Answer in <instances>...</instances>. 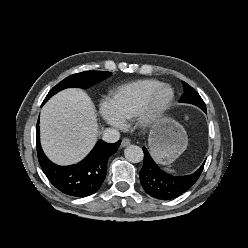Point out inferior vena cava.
Masks as SVG:
<instances>
[{"label": "inferior vena cava", "mask_w": 248, "mask_h": 248, "mask_svg": "<svg viewBox=\"0 0 248 248\" xmlns=\"http://www.w3.org/2000/svg\"><path fill=\"white\" fill-rule=\"evenodd\" d=\"M103 140L107 143H115L120 138V133L115 128H106L103 131Z\"/></svg>", "instance_id": "inferior-vena-cava-1"}]
</instances>
